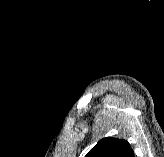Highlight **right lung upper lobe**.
<instances>
[{
	"instance_id": "obj_1",
	"label": "right lung upper lobe",
	"mask_w": 164,
	"mask_h": 157,
	"mask_svg": "<svg viewBox=\"0 0 164 157\" xmlns=\"http://www.w3.org/2000/svg\"><path fill=\"white\" fill-rule=\"evenodd\" d=\"M85 157H135L130 144L123 139L104 138Z\"/></svg>"
}]
</instances>
